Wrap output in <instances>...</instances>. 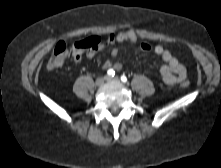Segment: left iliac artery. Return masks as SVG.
I'll list each match as a JSON object with an SVG mask.
<instances>
[{"label": "left iliac artery", "mask_w": 221, "mask_h": 168, "mask_svg": "<svg viewBox=\"0 0 221 168\" xmlns=\"http://www.w3.org/2000/svg\"><path fill=\"white\" fill-rule=\"evenodd\" d=\"M121 81H122V82H127V77H126L125 75H122V76H121Z\"/></svg>", "instance_id": "obj_1"}]
</instances>
